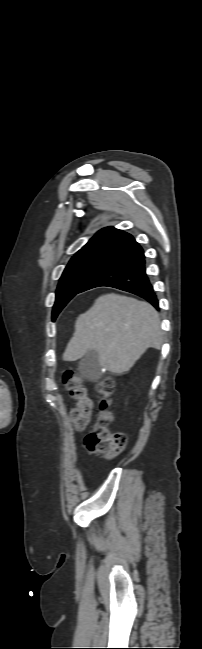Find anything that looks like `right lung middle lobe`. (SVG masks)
I'll return each mask as SVG.
<instances>
[{
  "label": "right lung middle lobe",
  "instance_id": "obj_1",
  "mask_svg": "<svg viewBox=\"0 0 202 649\" xmlns=\"http://www.w3.org/2000/svg\"><path fill=\"white\" fill-rule=\"evenodd\" d=\"M114 256L109 253H87L71 258L59 280L52 312L53 321L85 283Z\"/></svg>",
  "mask_w": 202,
  "mask_h": 649
}]
</instances>
